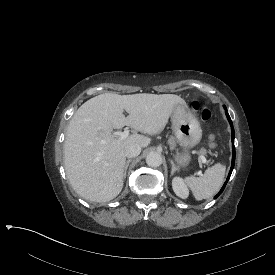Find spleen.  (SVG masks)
<instances>
[{"label": "spleen", "mask_w": 275, "mask_h": 275, "mask_svg": "<svg viewBox=\"0 0 275 275\" xmlns=\"http://www.w3.org/2000/svg\"><path fill=\"white\" fill-rule=\"evenodd\" d=\"M225 173L226 163H218L200 177H189L187 181L196 200L208 199L217 194L223 185Z\"/></svg>", "instance_id": "obj_1"}]
</instances>
